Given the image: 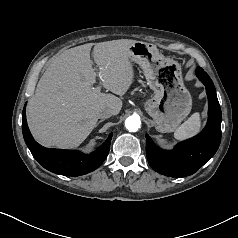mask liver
<instances>
[{"instance_id": "1", "label": "liver", "mask_w": 238, "mask_h": 238, "mask_svg": "<svg viewBox=\"0 0 238 238\" xmlns=\"http://www.w3.org/2000/svg\"><path fill=\"white\" fill-rule=\"evenodd\" d=\"M129 39L92 43L68 49L54 58L40 78L28 103V126L42 145L78 147L99 119L98 110L109 107L119 114L122 100L93 88L96 76L104 88L123 96L134 81ZM97 71V72H96Z\"/></svg>"}]
</instances>
